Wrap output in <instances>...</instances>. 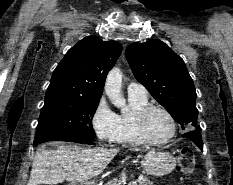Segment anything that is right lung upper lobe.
I'll return each instance as SVG.
<instances>
[{
	"label": "right lung upper lobe",
	"instance_id": "right-lung-upper-lobe-1",
	"mask_svg": "<svg viewBox=\"0 0 233 185\" xmlns=\"http://www.w3.org/2000/svg\"><path fill=\"white\" fill-rule=\"evenodd\" d=\"M121 51L122 46L116 41L85 37L68 50L58 64L46 93L100 99L107 73Z\"/></svg>",
	"mask_w": 233,
	"mask_h": 185
}]
</instances>
